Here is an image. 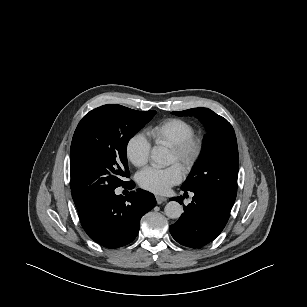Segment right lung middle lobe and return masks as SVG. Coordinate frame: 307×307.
<instances>
[{
    "instance_id": "dd1d6c3e",
    "label": "right lung middle lobe",
    "mask_w": 307,
    "mask_h": 307,
    "mask_svg": "<svg viewBox=\"0 0 307 307\" xmlns=\"http://www.w3.org/2000/svg\"><path fill=\"white\" fill-rule=\"evenodd\" d=\"M155 114L108 104L79 122L70 149L71 192L77 210L127 184L128 141Z\"/></svg>"
}]
</instances>
